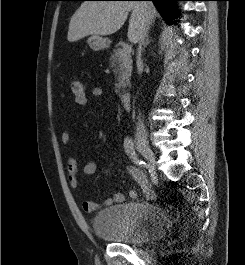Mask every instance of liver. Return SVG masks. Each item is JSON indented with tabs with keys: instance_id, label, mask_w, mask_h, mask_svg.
<instances>
[{
	"instance_id": "liver-1",
	"label": "liver",
	"mask_w": 245,
	"mask_h": 265,
	"mask_svg": "<svg viewBox=\"0 0 245 265\" xmlns=\"http://www.w3.org/2000/svg\"><path fill=\"white\" fill-rule=\"evenodd\" d=\"M132 11L128 27V39L138 42L142 21V8L139 2L131 1H85L71 17L67 39L78 41L86 36H107L117 32ZM152 17L157 15L151 3Z\"/></svg>"
}]
</instances>
